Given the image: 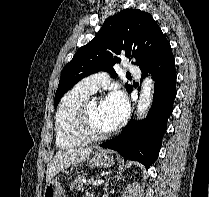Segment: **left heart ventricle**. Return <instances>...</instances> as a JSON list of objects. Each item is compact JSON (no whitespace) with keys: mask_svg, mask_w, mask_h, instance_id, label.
Returning a JSON list of instances; mask_svg holds the SVG:
<instances>
[{"mask_svg":"<svg viewBox=\"0 0 209 197\" xmlns=\"http://www.w3.org/2000/svg\"><path fill=\"white\" fill-rule=\"evenodd\" d=\"M101 105L102 102L100 100H95L89 107L90 126L95 132H104L111 129L103 115Z\"/></svg>","mask_w":209,"mask_h":197,"instance_id":"b2bd125f","label":"left heart ventricle"}]
</instances>
